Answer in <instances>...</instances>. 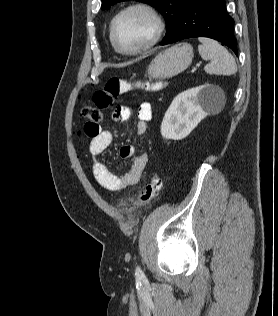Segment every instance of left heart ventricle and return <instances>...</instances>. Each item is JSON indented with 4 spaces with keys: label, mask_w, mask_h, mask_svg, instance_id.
I'll use <instances>...</instances> for the list:
<instances>
[{
    "label": "left heart ventricle",
    "mask_w": 278,
    "mask_h": 316,
    "mask_svg": "<svg viewBox=\"0 0 278 316\" xmlns=\"http://www.w3.org/2000/svg\"><path fill=\"white\" fill-rule=\"evenodd\" d=\"M153 33V22L148 15L135 11L120 18L115 27L118 45L126 50L145 43Z\"/></svg>",
    "instance_id": "obj_1"
}]
</instances>
